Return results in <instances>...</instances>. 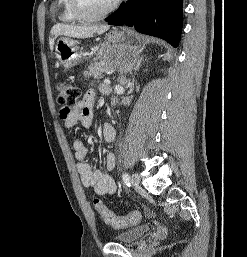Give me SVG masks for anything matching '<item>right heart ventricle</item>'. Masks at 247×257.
Returning <instances> with one entry per match:
<instances>
[{"label":"right heart ventricle","mask_w":247,"mask_h":257,"mask_svg":"<svg viewBox=\"0 0 247 257\" xmlns=\"http://www.w3.org/2000/svg\"><path fill=\"white\" fill-rule=\"evenodd\" d=\"M61 4V20L64 22L79 21L72 10L71 0H59Z\"/></svg>","instance_id":"obj_1"}]
</instances>
